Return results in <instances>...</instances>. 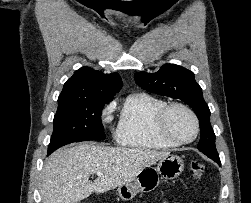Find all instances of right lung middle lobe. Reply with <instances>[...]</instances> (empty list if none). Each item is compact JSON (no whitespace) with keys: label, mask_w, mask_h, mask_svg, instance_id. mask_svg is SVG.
I'll return each instance as SVG.
<instances>
[{"label":"right lung middle lobe","mask_w":251,"mask_h":203,"mask_svg":"<svg viewBox=\"0 0 251 203\" xmlns=\"http://www.w3.org/2000/svg\"><path fill=\"white\" fill-rule=\"evenodd\" d=\"M108 102L84 101L58 106L47 155L72 142L105 139L101 113Z\"/></svg>","instance_id":"obj_1"}]
</instances>
